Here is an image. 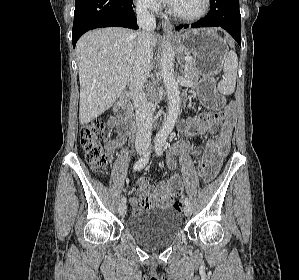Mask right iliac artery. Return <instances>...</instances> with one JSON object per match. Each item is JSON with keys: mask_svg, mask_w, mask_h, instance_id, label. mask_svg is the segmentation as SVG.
<instances>
[{"mask_svg": "<svg viewBox=\"0 0 299 280\" xmlns=\"http://www.w3.org/2000/svg\"><path fill=\"white\" fill-rule=\"evenodd\" d=\"M150 153H151V147H149L147 152L134 164L133 169L135 171H139L145 167V165L148 163ZM126 201H127L126 197L121 198L122 203H126Z\"/></svg>", "mask_w": 299, "mask_h": 280, "instance_id": "obj_1", "label": "right iliac artery"}]
</instances>
